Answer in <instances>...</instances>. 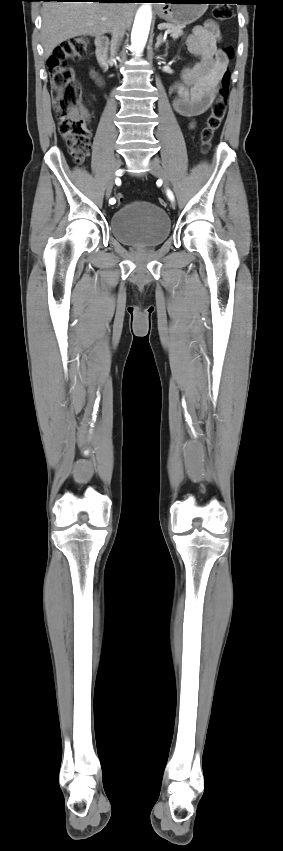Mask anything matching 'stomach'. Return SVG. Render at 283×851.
<instances>
[{"instance_id": "obj_1", "label": "stomach", "mask_w": 283, "mask_h": 851, "mask_svg": "<svg viewBox=\"0 0 283 851\" xmlns=\"http://www.w3.org/2000/svg\"><path fill=\"white\" fill-rule=\"evenodd\" d=\"M156 6L160 18L185 26L199 19L208 8V0H163Z\"/></svg>"}]
</instances>
